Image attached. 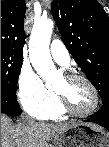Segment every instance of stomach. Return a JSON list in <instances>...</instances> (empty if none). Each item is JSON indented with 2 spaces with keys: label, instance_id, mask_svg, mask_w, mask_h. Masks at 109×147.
Listing matches in <instances>:
<instances>
[{
  "label": "stomach",
  "instance_id": "stomach-1",
  "mask_svg": "<svg viewBox=\"0 0 109 147\" xmlns=\"http://www.w3.org/2000/svg\"><path fill=\"white\" fill-rule=\"evenodd\" d=\"M58 147H109V134L86 124L71 126L54 136Z\"/></svg>",
  "mask_w": 109,
  "mask_h": 147
}]
</instances>
